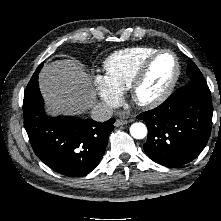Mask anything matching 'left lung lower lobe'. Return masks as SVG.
Returning a JSON list of instances; mask_svg holds the SVG:
<instances>
[{
	"label": "left lung lower lobe",
	"instance_id": "1",
	"mask_svg": "<svg viewBox=\"0 0 221 221\" xmlns=\"http://www.w3.org/2000/svg\"><path fill=\"white\" fill-rule=\"evenodd\" d=\"M213 107L206 81L176 90L160 106L137 116L148 127L145 153L167 167H179L195 159L207 144Z\"/></svg>",
	"mask_w": 221,
	"mask_h": 221
}]
</instances>
